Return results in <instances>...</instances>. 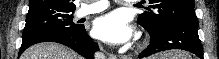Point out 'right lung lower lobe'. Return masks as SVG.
I'll return each mask as SVG.
<instances>
[{
  "label": "right lung lower lobe",
  "mask_w": 219,
  "mask_h": 59,
  "mask_svg": "<svg viewBox=\"0 0 219 59\" xmlns=\"http://www.w3.org/2000/svg\"><path fill=\"white\" fill-rule=\"evenodd\" d=\"M47 41L57 42L66 45L72 48L73 50H75L76 52H78L83 57L89 59H93L94 52L98 51L97 43L93 42V40L87 34L85 27H83L77 33H71L66 31H55V32L42 33L23 39L22 45L19 50V55H21L22 52L28 47H30L31 45L40 42H47Z\"/></svg>",
  "instance_id": "right-lung-lower-lobe-1"
}]
</instances>
